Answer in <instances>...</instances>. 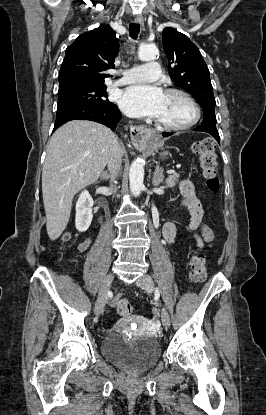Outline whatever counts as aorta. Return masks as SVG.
Returning <instances> with one entry per match:
<instances>
[{"mask_svg": "<svg viewBox=\"0 0 266 415\" xmlns=\"http://www.w3.org/2000/svg\"><path fill=\"white\" fill-rule=\"evenodd\" d=\"M158 56V49L150 44H142L139 47L138 57L142 61L155 60ZM130 190L134 196H139L143 188L144 165L140 161H134L129 170Z\"/></svg>", "mask_w": 266, "mask_h": 415, "instance_id": "obj_1", "label": "aorta"}]
</instances>
